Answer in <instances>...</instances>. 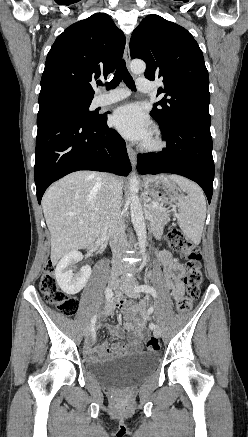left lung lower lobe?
Segmentation results:
<instances>
[{"label":"left lung lower lobe","mask_w":248,"mask_h":437,"mask_svg":"<svg viewBox=\"0 0 248 437\" xmlns=\"http://www.w3.org/2000/svg\"><path fill=\"white\" fill-rule=\"evenodd\" d=\"M208 114L180 116L168 129H162L167 141L165 151L139 154L140 174L173 173L198 183L210 203L213 193L214 162Z\"/></svg>","instance_id":"1"}]
</instances>
